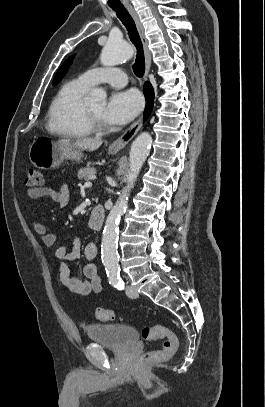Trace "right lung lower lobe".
<instances>
[{"label":"right lung lower lobe","mask_w":265,"mask_h":407,"mask_svg":"<svg viewBox=\"0 0 265 407\" xmlns=\"http://www.w3.org/2000/svg\"><path fill=\"white\" fill-rule=\"evenodd\" d=\"M143 91L146 97V108L144 112V117L148 118L149 114L153 109L154 90L152 86L148 82H146Z\"/></svg>","instance_id":"obj_1"}]
</instances>
